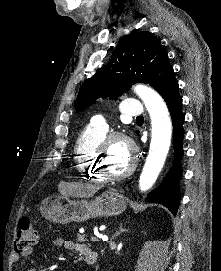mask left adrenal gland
I'll use <instances>...</instances> for the list:
<instances>
[{"label": "left adrenal gland", "instance_id": "left-adrenal-gland-1", "mask_svg": "<svg viewBox=\"0 0 221 271\" xmlns=\"http://www.w3.org/2000/svg\"><path fill=\"white\" fill-rule=\"evenodd\" d=\"M122 231H127V229H124L122 223H120L119 231H115L114 237L115 235H119V233H122Z\"/></svg>", "mask_w": 221, "mask_h": 271}]
</instances>
